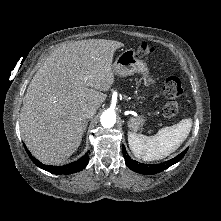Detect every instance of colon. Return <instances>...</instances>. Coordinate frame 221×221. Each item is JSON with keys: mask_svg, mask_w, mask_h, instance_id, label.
<instances>
[{"mask_svg": "<svg viewBox=\"0 0 221 221\" xmlns=\"http://www.w3.org/2000/svg\"><path fill=\"white\" fill-rule=\"evenodd\" d=\"M137 53L143 58H148L153 53V48L146 43L137 47ZM167 102L162 109L165 117H173L178 112V100L184 96V89L178 77H168L163 86Z\"/></svg>", "mask_w": 221, "mask_h": 221, "instance_id": "colon-1", "label": "colon"}]
</instances>
